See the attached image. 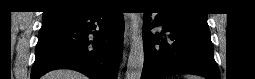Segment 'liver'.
<instances>
[{
  "label": "liver",
  "instance_id": "1",
  "mask_svg": "<svg viewBox=\"0 0 255 79\" xmlns=\"http://www.w3.org/2000/svg\"><path fill=\"white\" fill-rule=\"evenodd\" d=\"M43 79H87V77L73 70H55L46 74Z\"/></svg>",
  "mask_w": 255,
  "mask_h": 79
}]
</instances>
